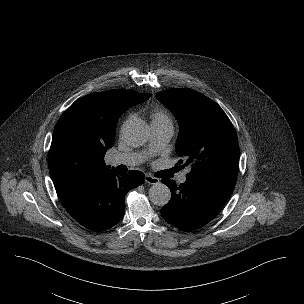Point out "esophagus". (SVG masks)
I'll list each match as a JSON object with an SVG mask.
<instances>
[{"instance_id":"1","label":"esophagus","mask_w":304,"mask_h":304,"mask_svg":"<svg viewBox=\"0 0 304 304\" xmlns=\"http://www.w3.org/2000/svg\"><path fill=\"white\" fill-rule=\"evenodd\" d=\"M145 181L148 184L154 185V184H158L160 180H159V178H156L154 176H151V175L147 174L145 176Z\"/></svg>"}]
</instances>
